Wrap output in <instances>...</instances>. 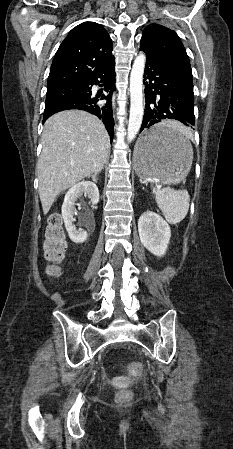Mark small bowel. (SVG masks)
<instances>
[{"label": "small bowel", "mask_w": 233, "mask_h": 449, "mask_svg": "<svg viewBox=\"0 0 233 449\" xmlns=\"http://www.w3.org/2000/svg\"><path fill=\"white\" fill-rule=\"evenodd\" d=\"M131 368H132V370H133V371H135V372H136V371H138V370H139V368H140V367H139V365H138V364H136V363H135V364H133V365H132V367H131Z\"/></svg>", "instance_id": "c3829d8e"}]
</instances>
